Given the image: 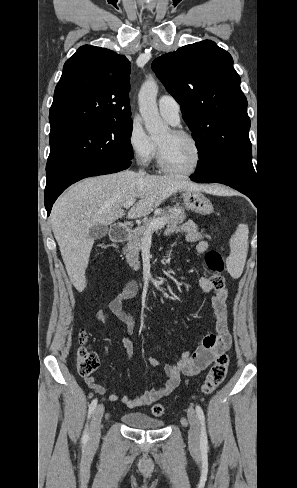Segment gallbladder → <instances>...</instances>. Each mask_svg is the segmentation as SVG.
Instances as JSON below:
<instances>
[{
  "label": "gallbladder",
  "mask_w": 297,
  "mask_h": 488,
  "mask_svg": "<svg viewBox=\"0 0 297 488\" xmlns=\"http://www.w3.org/2000/svg\"><path fill=\"white\" fill-rule=\"evenodd\" d=\"M108 232V226L102 224H94L90 229L88 236L94 240L101 239L106 236Z\"/></svg>",
  "instance_id": "bac80fb5"
}]
</instances>
